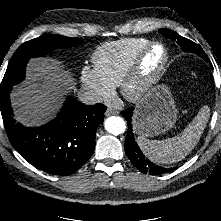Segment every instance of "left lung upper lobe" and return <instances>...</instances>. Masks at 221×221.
Wrapping results in <instances>:
<instances>
[{
	"label": "left lung upper lobe",
	"mask_w": 221,
	"mask_h": 221,
	"mask_svg": "<svg viewBox=\"0 0 221 221\" xmlns=\"http://www.w3.org/2000/svg\"><path fill=\"white\" fill-rule=\"evenodd\" d=\"M160 33L167 39H171L176 41L177 44L182 48L184 52H191L194 54L199 55L203 59L206 60V55L203 50L191 40L184 38L177 34L176 32L169 30V29H159Z\"/></svg>",
	"instance_id": "left-lung-upper-lobe-1"
}]
</instances>
